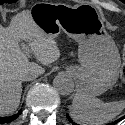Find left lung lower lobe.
<instances>
[{
    "label": "left lung lower lobe",
    "mask_w": 125,
    "mask_h": 125,
    "mask_svg": "<svg viewBox=\"0 0 125 125\" xmlns=\"http://www.w3.org/2000/svg\"><path fill=\"white\" fill-rule=\"evenodd\" d=\"M67 117H68L69 121H70L73 125H78L77 123L73 122V120L70 119L68 115H67ZM124 118H125V116H123V117H121L120 119H118V121H120V120H122V119H124ZM116 122H117V121H116ZM116 122H113L112 125H114ZM107 125H108V124H107Z\"/></svg>",
    "instance_id": "left-lung-lower-lobe-1"
}]
</instances>
